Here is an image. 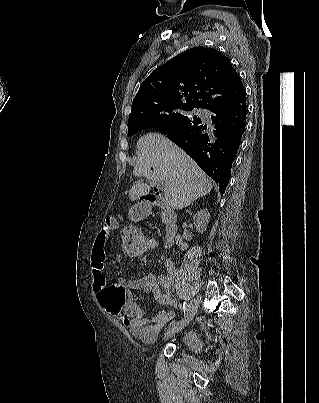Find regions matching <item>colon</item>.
<instances>
[{
	"label": "colon",
	"instance_id": "1",
	"mask_svg": "<svg viewBox=\"0 0 319 403\" xmlns=\"http://www.w3.org/2000/svg\"><path fill=\"white\" fill-rule=\"evenodd\" d=\"M125 260H140L141 254H153L157 249L154 234H146L143 226H126L122 237Z\"/></svg>",
	"mask_w": 319,
	"mask_h": 403
}]
</instances>
